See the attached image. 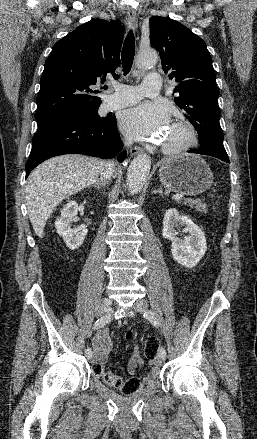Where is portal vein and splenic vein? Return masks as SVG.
Here are the masks:
<instances>
[{"label":"portal vein and splenic vein","mask_w":257,"mask_h":439,"mask_svg":"<svg viewBox=\"0 0 257 439\" xmlns=\"http://www.w3.org/2000/svg\"><path fill=\"white\" fill-rule=\"evenodd\" d=\"M184 197V195H182V194H176V195H174L173 197H172V199H174V200H180V199H182Z\"/></svg>","instance_id":"18ae733b"}]
</instances>
